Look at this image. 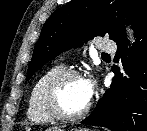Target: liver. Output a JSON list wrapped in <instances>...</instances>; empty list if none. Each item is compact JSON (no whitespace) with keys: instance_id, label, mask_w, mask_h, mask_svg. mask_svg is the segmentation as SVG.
Wrapping results in <instances>:
<instances>
[{"instance_id":"liver-1","label":"liver","mask_w":147,"mask_h":131,"mask_svg":"<svg viewBox=\"0 0 147 131\" xmlns=\"http://www.w3.org/2000/svg\"><path fill=\"white\" fill-rule=\"evenodd\" d=\"M58 129H59L58 127H52V128L47 129L46 131H55V130H58Z\"/></svg>"}]
</instances>
